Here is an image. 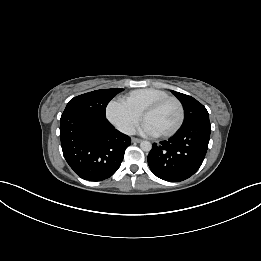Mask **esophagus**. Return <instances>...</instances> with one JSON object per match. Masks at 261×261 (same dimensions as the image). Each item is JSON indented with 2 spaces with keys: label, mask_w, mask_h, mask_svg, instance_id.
<instances>
[{
  "label": "esophagus",
  "mask_w": 261,
  "mask_h": 261,
  "mask_svg": "<svg viewBox=\"0 0 261 261\" xmlns=\"http://www.w3.org/2000/svg\"><path fill=\"white\" fill-rule=\"evenodd\" d=\"M131 141H132L133 143H140L142 140L139 139V138L132 137V138H131Z\"/></svg>",
  "instance_id": "esophagus-1"
}]
</instances>
